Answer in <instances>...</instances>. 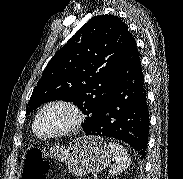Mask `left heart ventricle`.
<instances>
[{
	"label": "left heart ventricle",
	"instance_id": "b2bd125f",
	"mask_svg": "<svg viewBox=\"0 0 183 179\" xmlns=\"http://www.w3.org/2000/svg\"><path fill=\"white\" fill-rule=\"evenodd\" d=\"M72 121L71 113L63 107L47 109L40 120V128L44 133H55L68 127Z\"/></svg>",
	"mask_w": 183,
	"mask_h": 179
}]
</instances>
